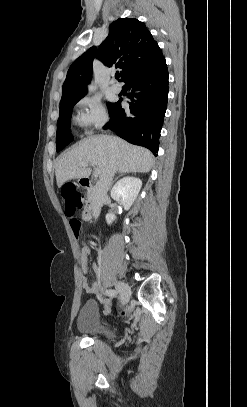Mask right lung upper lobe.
I'll return each instance as SVG.
<instances>
[{"mask_svg": "<svg viewBox=\"0 0 247 407\" xmlns=\"http://www.w3.org/2000/svg\"><path fill=\"white\" fill-rule=\"evenodd\" d=\"M96 54L108 67L121 69L122 81L134 70L163 57L143 22L135 18H119L110 25L109 34L99 51L95 46L91 47L70 66L62 87L60 104L81 99L87 93Z\"/></svg>", "mask_w": 247, "mask_h": 407, "instance_id": "1", "label": "right lung upper lobe"}]
</instances>
